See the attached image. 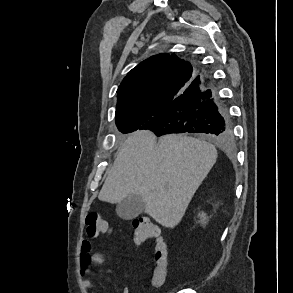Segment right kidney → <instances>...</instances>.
I'll list each match as a JSON object with an SVG mask.
<instances>
[{"label": "right kidney", "mask_w": 293, "mask_h": 293, "mask_svg": "<svg viewBox=\"0 0 293 293\" xmlns=\"http://www.w3.org/2000/svg\"><path fill=\"white\" fill-rule=\"evenodd\" d=\"M198 217L200 218V223L203 226H205L209 221V217H207L206 213L204 212L199 213Z\"/></svg>", "instance_id": "ca27d5eb"}]
</instances>
